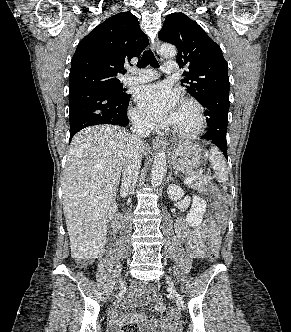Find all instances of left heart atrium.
<instances>
[{"label":"left heart atrium","instance_id":"obj_1","mask_svg":"<svg viewBox=\"0 0 291 332\" xmlns=\"http://www.w3.org/2000/svg\"><path fill=\"white\" fill-rule=\"evenodd\" d=\"M136 101L149 119L163 124H172L180 104L178 91L165 83L142 86L136 93Z\"/></svg>","mask_w":291,"mask_h":332}]
</instances>
